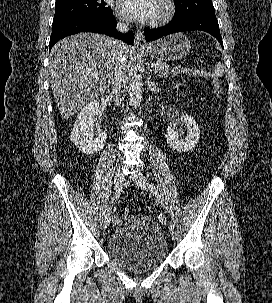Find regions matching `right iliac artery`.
Instances as JSON below:
<instances>
[{
	"label": "right iliac artery",
	"instance_id": "82829eb1",
	"mask_svg": "<svg viewBox=\"0 0 272 303\" xmlns=\"http://www.w3.org/2000/svg\"><path fill=\"white\" fill-rule=\"evenodd\" d=\"M121 192H122V186L116 190L114 196L112 197V201H111L112 203H114L117 199H119ZM110 211H112V206H107V210H105V212L103 213L104 221L108 220V215H110L111 213Z\"/></svg>",
	"mask_w": 272,
	"mask_h": 303
}]
</instances>
